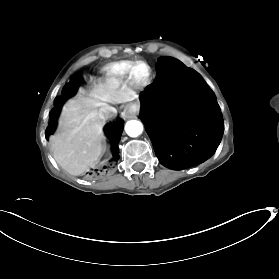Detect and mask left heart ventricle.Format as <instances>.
Masks as SVG:
<instances>
[{
    "label": "left heart ventricle",
    "instance_id": "left-heart-ventricle-1",
    "mask_svg": "<svg viewBox=\"0 0 279 279\" xmlns=\"http://www.w3.org/2000/svg\"><path fill=\"white\" fill-rule=\"evenodd\" d=\"M135 75L138 78H144L147 75V68L144 65H138L135 69Z\"/></svg>",
    "mask_w": 279,
    "mask_h": 279
}]
</instances>
